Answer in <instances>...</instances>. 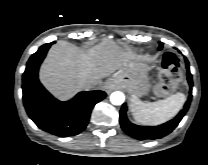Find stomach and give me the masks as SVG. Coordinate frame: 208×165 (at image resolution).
<instances>
[{
  "instance_id": "1",
  "label": "stomach",
  "mask_w": 208,
  "mask_h": 165,
  "mask_svg": "<svg viewBox=\"0 0 208 165\" xmlns=\"http://www.w3.org/2000/svg\"><path fill=\"white\" fill-rule=\"evenodd\" d=\"M149 66L143 58L134 60L129 67L113 76L111 81L128 89L132 96L145 95L150 87L148 78Z\"/></svg>"
}]
</instances>
